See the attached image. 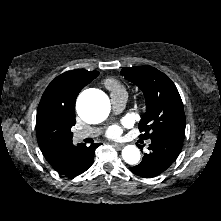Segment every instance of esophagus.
Listing matches in <instances>:
<instances>
[{
  "label": "esophagus",
  "instance_id": "1",
  "mask_svg": "<svg viewBox=\"0 0 221 221\" xmlns=\"http://www.w3.org/2000/svg\"><path fill=\"white\" fill-rule=\"evenodd\" d=\"M112 145H114L115 147H123L124 144L122 143H112Z\"/></svg>",
  "mask_w": 221,
  "mask_h": 221
}]
</instances>
